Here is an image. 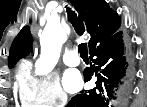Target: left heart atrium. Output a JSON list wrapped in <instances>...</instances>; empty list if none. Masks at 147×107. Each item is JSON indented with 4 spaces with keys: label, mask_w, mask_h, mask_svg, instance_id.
<instances>
[{
    "label": "left heart atrium",
    "mask_w": 147,
    "mask_h": 107,
    "mask_svg": "<svg viewBox=\"0 0 147 107\" xmlns=\"http://www.w3.org/2000/svg\"><path fill=\"white\" fill-rule=\"evenodd\" d=\"M64 85L69 92H76L82 85V79L77 71L69 70L64 76Z\"/></svg>",
    "instance_id": "left-heart-atrium-1"
}]
</instances>
